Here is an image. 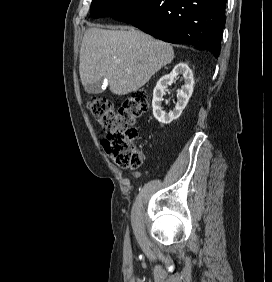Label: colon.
Here are the masks:
<instances>
[{
  "instance_id": "5ec220e1",
  "label": "colon",
  "mask_w": 272,
  "mask_h": 282,
  "mask_svg": "<svg viewBox=\"0 0 272 282\" xmlns=\"http://www.w3.org/2000/svg\"><path fill=\"white\" fill-rule=\"evenodd\" d=\"M88 109L107 130L101 143L113 162L122 168L139 167L143 156L135 145L138 131L134 123L149 109L146 93L133 92L118 108L110 100L96 98L88 103Z\"/></svg>"
}]
</instances>
